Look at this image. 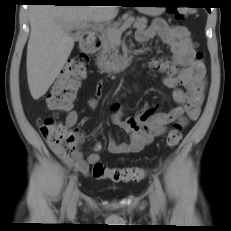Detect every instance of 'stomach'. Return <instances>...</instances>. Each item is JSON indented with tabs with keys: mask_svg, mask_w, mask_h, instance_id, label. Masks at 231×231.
Listing matches in <instances>:
<instances>
[{
	"mask_svg": "<svg viewBox=\"0 0 231 231\" xmlns=\"http://www.w3.org/2000/svg\"><path fill=\"white\" fill-rule=\"evenodd\" d=\"M160 3H162V1L160 0L142 1V4H160ZM137 9L139 12L150 16H158L165 10L164 7H150V6L137 7Z\"/></svg>",
	"mask_w": 231,
	"mask_h": 231,
	"instance_id": "stomach-1",
	"label": "stomach"
}]
</instances>
